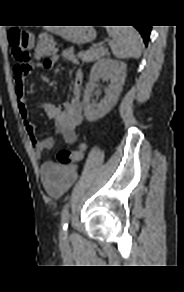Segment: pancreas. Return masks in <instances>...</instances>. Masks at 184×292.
Segmentation results:
<instances>
[{
	"label": "pancreas",
	"mask_w": 184,
	"mask_h": 292,
	"mask_svg": "<svg viewBox=\"0 0 184 292\" xmlns=\"http://www.w3.org/2000/svg\"><path fill=\"white\" fill-rule=\"evenodd\" d=\"M107 54H108L107 50L100 48H90L87 51L79 52L78 58L81 59L83 62H93Z\"/></svg>",
	"instance_id": "pancreas-1"
}]
</instances>
